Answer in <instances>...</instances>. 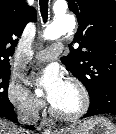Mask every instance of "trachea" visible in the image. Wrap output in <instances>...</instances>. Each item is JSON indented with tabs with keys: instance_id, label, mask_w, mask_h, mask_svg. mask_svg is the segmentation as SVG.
Wrapping results in <instances>:
<instances>
[{
	"instance_id": "1",
	"label": "trachea",
	"mask_w": 116,
	"mask_h": 134,
	"mask_svg": "<svg viewBox=\"0 0 116 134\" xmlns=\"http://www.w3.org/2000/svg\"><path fill=\"white\" fill-rule=\"evenodd\" d=\"M39 4L43 21L46 23L48 19V0H40Z\"/></svg>"
}]
</instances>
